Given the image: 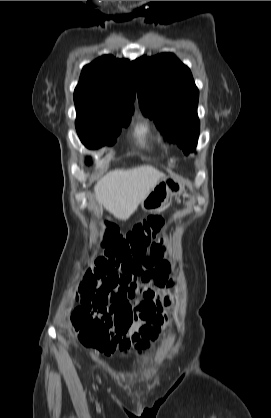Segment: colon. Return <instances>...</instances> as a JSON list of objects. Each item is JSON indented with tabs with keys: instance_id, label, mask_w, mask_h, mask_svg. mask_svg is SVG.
Instances as JSON below:
<instances>
[{
	"instance_id": "colon-1",
	"label": "colon",
	"mask_w": 271,
	"mask_h": 418,
	"mask_svg": "<svg viewBox=\"0 0 271 418\" xmlns=\"http://www.w3.org/2000/svg\"><path fill=\"white\" fill-rule=\"evenodd\" d=\"M161 227L162 219L157 216L148 217L137 223L126 233H121L116 227L109 225L103 243L105 255L119 263L122 261L131 262L142 256H149V249L155 244L153 241ZM96 295L97 292L88 295V298L95 300ZM81 298L83 300L82 296ZM137 314L143 313L138 311ZM97 315L91 314L90 309L80 307L74 310L72 323L83 345L101 349L109 342L110 333L106 323L97 322Z\"/></svg>"
}]
</instances>
